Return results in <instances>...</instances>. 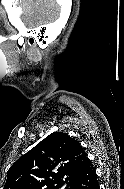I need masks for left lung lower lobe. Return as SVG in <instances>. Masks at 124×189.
I'll list each match as a JSON object with an SVG mask.
<instances>
[{
    "instance_id": "1",
    "label": "left lung lower lobe",
    "mask_w": 124,
    "mask_h": 189,
    "mask_svg": "<svg viewBox=\"0 0 124 189\" xmlns=\"http://www.w3.org/2000/svg\"><path fill=\"white\" fill-rule=\"evenodd\" d=\"M70 180V189H99L95 167L89 159L86 161L81 172Z\"/></svg>"
}]
</instances>
